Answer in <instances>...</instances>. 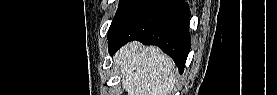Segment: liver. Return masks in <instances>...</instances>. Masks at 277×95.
I'll list each match as a JSON object with an SVG mask.
<instances>
[{"label": "liver", "mask_w": 277, "mask_h": 95, "mask_svg": "<svg viewBox=\"0 0 277 95\" xmlns=\"http://www.w3.org/2000/svg\"><path fill=\"white\" fill-rule=\"evenodd\" d=\"M128 95H169L175 82L173 60L158 47L130 42L115 55Z\"/></svg>", "instance_id": "6515ba94"}]
</instances>
